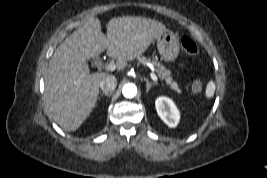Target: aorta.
Returning <instances> with one entry per match:
<instances>
[{
	"label": "aorta",
	"mask_w": 267,
	"mask_h": 178,
	"mask_svg": "<svg viewBox=\"0 0 267 178\" xmlns=\"http://www.w3.org/2000/svg\"><path fill=\"white\" fill-rule=\"evenodd\" d=\"M122 94L126 98H133L137 94V87L135 84L128 83L125 84L122 88Z\"/></svg>",
	"instance_id": "obj_1"
}]
</instances>
